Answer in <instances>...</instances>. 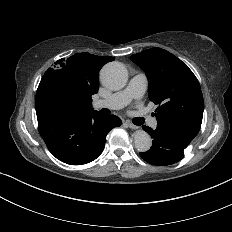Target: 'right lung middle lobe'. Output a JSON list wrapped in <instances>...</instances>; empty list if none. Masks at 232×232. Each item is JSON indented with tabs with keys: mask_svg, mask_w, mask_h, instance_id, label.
I'll return each mask as SVG.
<instances>
[{
	"mask_svg": "<svg viewBox=\"0 0 232 232\" xmlns=\"http://www.w3.org/2000/svg\"><path fill=\"white\" fill-rule=\"evenodd\" d=\"M49 92L62 107L79 110L80 106L74 101V94L71 86L64 80L54 79L51 81Z\"/></svg>",
	"mask_w": 232,
	"mask_h": 232,
	"instance_id": "dd1d6c3e",
	"label": "right lung middle lobe"
}]
</instances>
